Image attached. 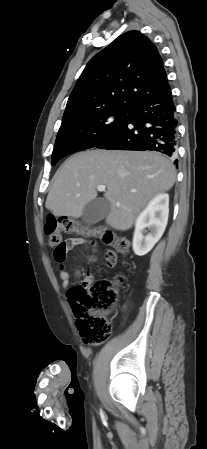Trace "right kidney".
<instances>
[{
  "label": "right kidney",
  "instance_id": "1",
  "mask_svg": "<svg viewBox=\"0 0 207 449\" xmlns=\"http://www.w3.org/2000/svg\"><path fill=\"white\" fill-rule=\"evenodd\" d=\"M168 215L169 195L158 194L149 202L136 220L132 245L136 255L147 254L159 241L165 231ZM146 228L150 232H147Z\"/></svg>",
  "mask_w": 207,
  "mask_h": 449
}]
</instances>
